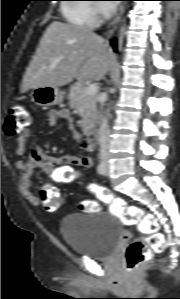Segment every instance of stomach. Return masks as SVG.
<instances>
[{
    "mask_svg": "<svg viewBox=\"0 0 180 299\" xmlns=\"http://www.w3.org/2000/svg\"><path fill=\"white\" fill-rule=\"evenodd\" d=\"M65 93L58 87L43 86L34 88L31 92L32 101L42 107L62 103Z\"/></svg>",
    "mask_w": 180,
    "mask_h": 299,
    "instance_id": "0dacf381",
    "label": "stomach"
}]
</instances>
